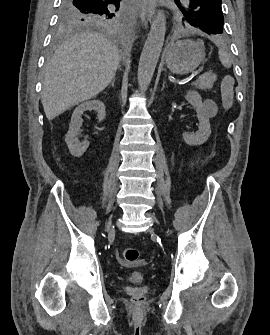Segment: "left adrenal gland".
<instances>
[{
  "instance_id": "left-adrenal-gland-1",
  "label": "left adrenal gland",
  "mask_w": 270,
  "mask_h": 335,
  "mask_svg": "<svg viewBox=\"0 0 270 335\" xmlns=\"http://www.w3.org/2000/svg\"><path fill=\"white\" fill-rule=\"evenodd\" d=\"M166 82H163L161 90H164Z\"/></svg>"
}]
</instances>
